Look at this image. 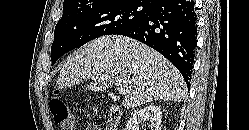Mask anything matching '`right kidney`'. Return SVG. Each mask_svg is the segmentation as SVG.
I'll use <instances>...</instances> for the list:
<instances>
[{"instance_id": "right-kidney-1", "label": "right kidney", "mask_w": 249, "mask_h": 130, "mask_svg": "<svg viewBox=\"0 0 249 130\" xmlns=\"http://www.w3.org/2000/svg\"><path fill=\"white\" fill-rule=\"evenodd\" d=\"M162 120L161 108L158 105H149L137 110L129 119L126 130H139L140 125H144L145 129L160 130Z\"/></svg>"}]
</instances>
